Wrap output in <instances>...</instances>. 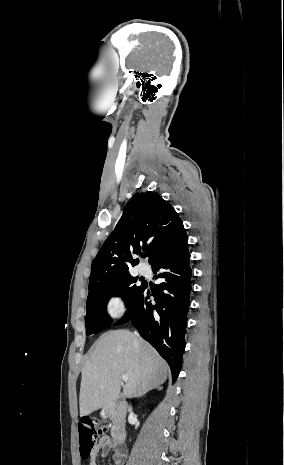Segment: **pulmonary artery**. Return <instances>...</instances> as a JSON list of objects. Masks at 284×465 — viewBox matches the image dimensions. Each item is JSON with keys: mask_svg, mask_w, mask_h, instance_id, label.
Instances as JSON below:
<instances>
[{"mask_svg": "<svg viewBox=\"0 0 284 465\" xmlns=\"http://www.w3.org/2000/svg\"><path fill=\"white\" fill-rule=\"evenodd\" d=\"M137 271L139 274L143 275L146 273V267L145 266H142V265H139L138 268H137Z\"/></svg>", "mask_w": 284, "mask_h": 465, "instance_id": "e3ab8cb5", "label": "pulmonary artery"}]
</instances>
